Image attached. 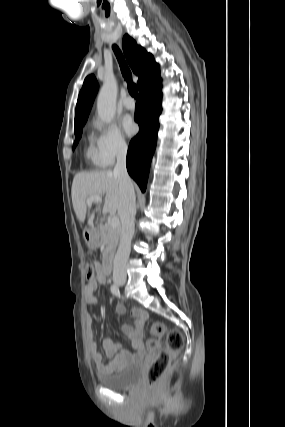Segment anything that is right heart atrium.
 Wrapping results in <instances>:
<instances>
[{
    "label": "right heart atrium",
    "mask_w": 285,
    "mask_h": 427,
    "mask_svg": "<svg viewBox=\"0 0 285 427\" xmlns=\"http://www.w3.org/2000/svg\"><path fill=\"white\" fill-rule=\"evenodd\" d=\"M93 126L96 131L93 142L104 165L113 164L117 158L127 153L128 143L117 125L96 121Z\"/></svg>",
    "instance_id": "d8ad5b80"
}]
</instances>
